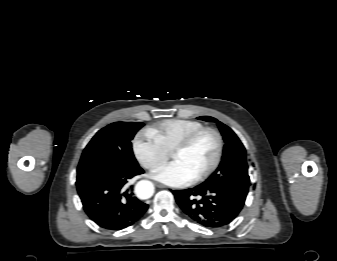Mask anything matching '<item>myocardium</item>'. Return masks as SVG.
<instances>
[{"mask_svg":"<svg viewBox=\"0 0 337 261\" xmlns=\"http://www.w3.org/2000/svg\"><path fill=\"white\" fill-rule=\"evenodd\" d=\"M205 133H211L215 136L217 141V151L212 164L204 172L194 177V182H200L207 179L219 167L224 152V139L222 134L217 129L212 127L200 128L187 135L171 152V156L173 157L175 154L187 150L201 135Z\"/></svg>","mask_w":337,"mask_h":261,"instance_id":"1","label":"myocardium"}]
</instances>
